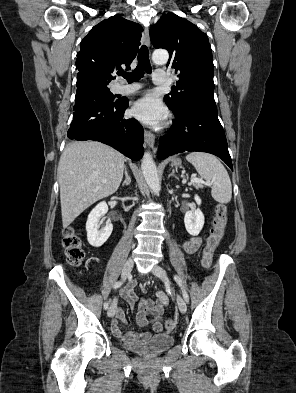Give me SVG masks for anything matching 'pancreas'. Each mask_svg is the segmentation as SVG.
Returning a JSON list of instances; mask_svg holds the SVG:
<instances>
[{"mask_svg":"<svg viewBox=\"0 0 296 393\" xmlns=\"http://www.w3.org/2000/svg\"><path fill=\"white\" fill-rule=\"evenodd\" d=\"M190 184L193 185L196 189L203 188V185L199 182H191Z\"/></svg>","mask_w":296,"mask_h":393,"instance_id":"pancreas-1","label":"pancreas"}]
</instances>
